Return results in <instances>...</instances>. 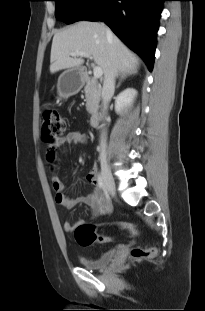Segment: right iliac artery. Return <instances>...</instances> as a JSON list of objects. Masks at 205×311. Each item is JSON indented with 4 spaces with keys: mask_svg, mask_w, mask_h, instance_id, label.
Listing matches in <instances>:
<instances>
[{
    "mask_svg": "<svg viewBox=\"0 0 205 311\" xmlns=\"http://www.w3.org/2000/svg\"><path fill=\"white\" fill-rule=\"evenodd\" d=\"M98 181H99V188L100 189H104V183H103V176H102V173H98Z\"/></svg>",
    "mask_w": 205,
    "mask_h": 311,
    "instance_id": "1",
    "label": "right iliac artery"
}]
</instances>
